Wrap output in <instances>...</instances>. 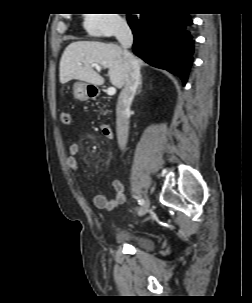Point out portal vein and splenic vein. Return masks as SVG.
<instances>
[{
  "instance_id": "portal-vein-and-splenic-vein-1",
  "label": "portal vein and splenic vein",
  "mask_w": 252,
  "mask_h": 303,
  "mask_svg": "<svg viewBox=\"0 0 252 303\" xmlns=\"http://www.w3.org/2000/svg\"><path fill=\"white\" fill-rule=\"evenodd\" d=\"M92 67H94L98 72L101 71V67L100 65L96 64V63H93L92 64ZM116 93V88L115 87H109L108 90H107V94L112 96Z\"/></svg>"
}]
</instances>
